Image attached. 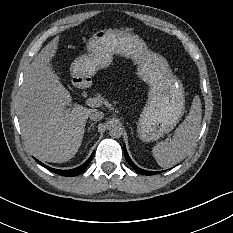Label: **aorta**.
I'll return each mask as SVG.
<instances>
[{"label": "aorta", "mask_w": 233, "mask_h": 233, "mask_svg": "<svg viewBox=\"0 0 233 233\" xmlns=\"http://www.w3.org/2000/svg\"><path fill=\"white\" fill-rule=\"evenodd\" d=\"M123 130L121 126L113 124L109 130V134L112 138H120L122 136Z\"/></svg>", "instance_id": "762f6f07"}]
</instances>
